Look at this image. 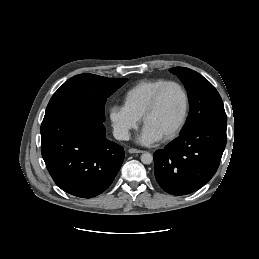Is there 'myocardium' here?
<instances>
[{
    "instance_id": "obj_1",
    "label": "myocardium",
    "mask_w": 259,
    "mask_h": 259,
    "mask_svg": "<svg viewBox=\"0 0 259 259\" xmlns=\"http://www.w3.org/2000/svg\"><path fill=\"white\" fill-rule=\"evenodd\" d=\"M169 86H176L181 90V92L184 96V109H183L182 116H181L178 124L174 127V129H172L169 133H167L165 136L160 138V140H163V141L170 140V139L174 138L175 136H177L186 124L188 114H189V109H190V96H189V93H188L187 89L185 88V86L178 81L171 80V81L165 82L163 85H161L157 89L149 106L147 107V109L145 110V112L142 116V124L145 127L146 121L157 110L161 97H162V94Z\"/></svg>"
}]
</instances>
